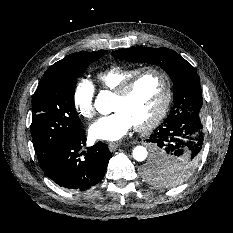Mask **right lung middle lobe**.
Returning <instances> with one entry per match:
<instances>
[{
	"mask_svg": "<svg viewBox=\"0 0 233 233\" xmlns=\"http://www.w3.org/2000/svg\"><path fill=\"white\" fill-rule=\"evenodd\" d=\"M105 53L81 52L75 61L45 72L32 101L31 135L40 167L48 164L64 143L81 130L74 104L77 77Z\"/></svg>",
	"mask_w": 233,
	"mask_h": 233,
	"instance_id": "dd1d6c3e",
	"label": "right lung middle lobe"
}]
</instances>
